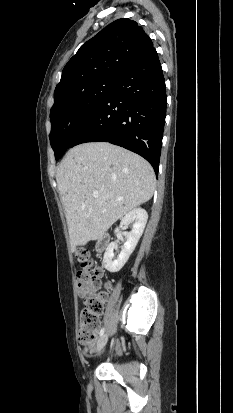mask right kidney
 <instances>
[{"label":"right kidney","mask_w":233,"mask_h":413,"mask_svg":"<svg viewBox=\"0 0 233 413\" xmlns=\"http://www.w3.org/2000/svg\"><path fill=\"white\" fill-rule=\"evenodd\" d=\"M147 219L148 214L143 208H134L122 218L119 228H125L130 223H133V228L126 233V242L116 259H114L113 253L116 247L115 243L111 242L107 246L103 257V265L108 271L118 272L125 265L143 234ZM119 228L115 229V233L119 232Z\"/></svg>","instance_id":"ca27d5eb"}]
</instances>
